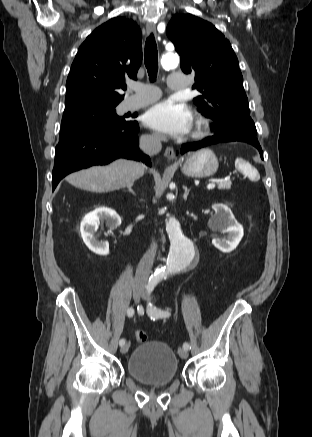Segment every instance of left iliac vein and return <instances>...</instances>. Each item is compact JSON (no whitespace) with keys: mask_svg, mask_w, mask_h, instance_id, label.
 Instances as JSON below:
<instances>
[{"mask_svg":"<svg viewBox=\"0 0 312 437\" xmlns=\"http://www.w3.org/2000/svg\"><path fill=\"white\" fill-rule=\"evenodd\" d=\"M144 298L149 301L151 297L149 294H144ZM178 354L182 359H186L188 357V350L180 347L178 349Z\"/></svg>","mask_w":312,"mask_h":437,"instance_id":"left-iliac-vein-1","label":"left iliac vein"}]
</instances>
